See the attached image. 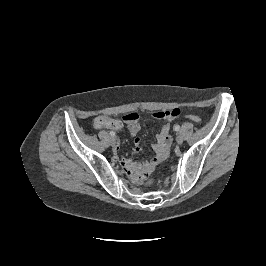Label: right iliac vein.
<instances>
[{
    "label": "right iliac vein",
    "mask_w": 266,
    "mask_h": 266,
    "mask_svg": "<svg viewBox=\"0 0 266 266\" xmlns=\"http://www.w3.org/2000/svg\"><path fill=\"white\" fill-rule=\"evenodd\" d=\"M110 143H111V145L115 146V144L117 143V139L115 137H112L110 139Z\"/></svg>",
    "instance_id": "right-iliac-vein-1"
}]
</instances>
